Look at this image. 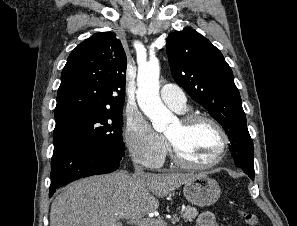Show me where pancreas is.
Returning <instances> with one entry per match:
<instances>
[{"instance_id": "pancreas-1", "label": "pancreas", "mask_w": 297, "mask_h": 226, "mask_svg": "<svg viewBox=\"0 0 297 226\" xmlns=\"http://www.w3.org/2000/svg\"><path fill=\"white\" fill-rule=\"evenodd\" d=\"M198 215V211L195 207L186 206L181 217L185 222H192ZM152 226H167V222L161 219H156V222Z\"/></svg>"}]
</instances>
